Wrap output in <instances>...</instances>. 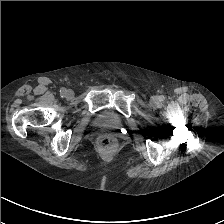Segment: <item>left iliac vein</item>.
<instances>
[{"mask_svg":"<svg viewBox=\"0 0 224 224\" xmlns=\"http://www.w3.org/2000/svg\"><path fill=\"white\" fill-rule=\"evenodd\" d=\"M151 102L153 104H157L159 102V97H157V96L152 97Z\"/></svg>","mask_w":224,"mask_h":224,"instance_id":"1","label":"left iliac vein"}]
</instances>
